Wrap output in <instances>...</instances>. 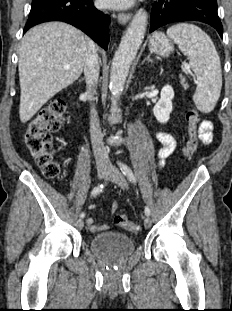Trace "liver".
Returning a JSON list of instances; mask_svg holds the SVG:
<instances>
[{
  "label": "liver",
  "instance_id": "liver-1",
  "mask_svg": "<svg viewBox=\"0 0 232 311\" xmlns=\"http://www.w3.org/2000/svg\"><path fill=\"white\" fill-rule=\"evenodd\" d=\"M91 40L82 31L62 22L30 29L19 48L21 122L29 121L54 95L75 82L84 68ZM69 65V69L64 66Z\"/></svg>",
  "mask_w": 232,
  "mask_h": 311
}]
</instances>
